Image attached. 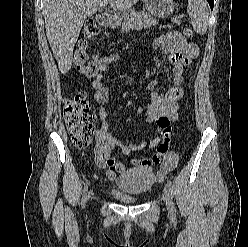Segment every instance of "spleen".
Returning a JSON list of instances; mask_svg holds the SVG:
<instances>
[{"label": "spleen", "instance_id": "spleen-1", "mask_svg": "<svg viewBox=\"0 0 248 247\" xmlns=\"http://www.w3.org/2000/svg\"><path fill=\"white\" fill-rule=\"evenodd\" d=\"M187 12L193 29L198 34H205L208 27L209 6L203 0H188Z\"/></svg>", "mask_w": 248, "mask_h": 247}]
</instances>
